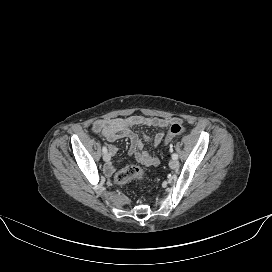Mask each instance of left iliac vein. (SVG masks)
<instances>
[{
  "mask_svg": "<svg viewBox=\"0 0 272 272\" xmlns=\"http://www.w3.org/2000/svg\"><path fill=\"white\" fill-rule=\"evenodd\" d=\"M169 166H170V168L175 169L179 166V162L176 159H172L169 162Z\"/></svg>",
  "mask_w": 272,
  "mask_h": 272,
  "instance_id": "obj_1",
  "label": "left iliac vein"
}]
</instances>
